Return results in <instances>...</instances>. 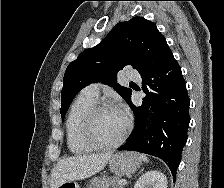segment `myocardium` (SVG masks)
<instances>
[{
  "label": "myocardium",
  "instance_id": "obj_1",
  "mask_svg": "<svg viewBox=\"0 0 224 188\" xmlns=\"http://www.w3.org/2000/svg\"><path fill=\"white\" fill-rule=\"evenodd\" d=\"M114 109L113 106L106 104V103H98L94 105L86 114L83 124H82V136L86 143H88L91 147L95 149H113L120 146L128 136V133L131 129V124L127 120L125 129L123 130L122 134L113 142L105 143L100 141L94 132V125L97 116L107 110Z\"/></svg>",
  "mask_w": 224,
  "mask_h": 188
}]
</instances>
